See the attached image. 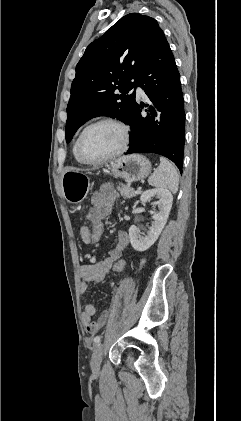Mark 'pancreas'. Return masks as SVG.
I'll list each match as a JSON object with an SVG mask.
<instances>
[{"mask_svg": "<svg viewBox=\"0 0 241 421\" xmlns=\"http://www.w3.org/2000/svg\"><path fill=\"white\" fill-rule=\"evenodd\" d=\"M118 191L120 192L121 196L124 198H132L136 196V192L133 188H131V186L129 185H124V184H119L117 186Z\"/></svg>", "mask_w": 241, "mask_h": 421, "instance_id": "obj_1", "label": "pancreas"}]
</instances>
